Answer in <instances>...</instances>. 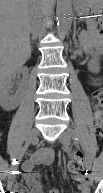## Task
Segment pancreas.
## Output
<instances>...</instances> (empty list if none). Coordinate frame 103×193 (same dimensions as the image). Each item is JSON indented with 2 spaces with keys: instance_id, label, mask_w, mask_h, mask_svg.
Segmentation results:
<instances>
[{
  "instance_id": "pancreas-1",
  "label": "pancreas",
  "mask_w": 103,
  "mask_h": 193,
  "mask_svg": "<svg viewBox=\"0 0 103 193\" xmlns=\"http://www.w3.org/2000/svg\"><path fill=\"white\" fill-rule=\"evenodd\" d=\"M80 43H81L82 47L84 48V50H86V51L89 50L90 44H89V39H88V37H86V38L82 37V38L80 39Z\"/></svg>"
}]
</instances>
